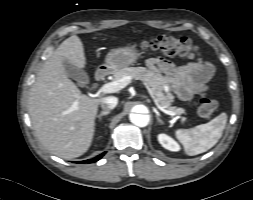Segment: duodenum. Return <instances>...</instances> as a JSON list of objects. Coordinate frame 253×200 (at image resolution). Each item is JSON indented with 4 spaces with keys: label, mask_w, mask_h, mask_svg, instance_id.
Here are the masks:
<instances>
[{
    "label": "duodenum",
    "mask_w": 253,
    "mask_h": 200,
    "mask_svg": "<svg viewBox=\"0 0 253 200\" xmlns=\"http://www.w3.org/2000/svg\"><path fill=\"white\" fill-rule=\"evenodd\" d=\"M110 73V69L107 67H101L99 68L95 73V79L96 81H102L105 79Z\"/></svg>",
    "instance_id": "410a0bca"
}]
</instances>
